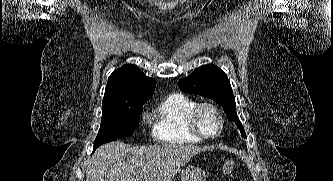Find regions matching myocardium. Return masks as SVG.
<instances>
[{
    "mask_svg": "<svg viewBox=\"0 0 333 181\" xmlns=\"http://www.w3.org/2000/svg\"><path fill=\"white\" fill-rule=\"evenodd\" d=\"M204 110L212 111L216 115V117L219 121L218 130L213 135L205 134L199 126V116ZM188 123H189L190 130L192 131L193 134H195L197 137L201 138L202 140H210V139H214V138L218 137L221 134V132L223 130V126H224V119H223V115H222L221 111L219 110V108L216 105L209 103V102H203V103L197 104L194 107V109L190 112L189 117H188Z\"/></svg>",
    "mask_w": 333,
    "mask_h": 181,
    "instance_id": "obj_1",
    "label": "myocardium"
}]
</instances>
